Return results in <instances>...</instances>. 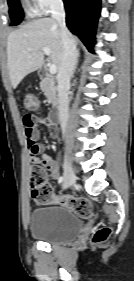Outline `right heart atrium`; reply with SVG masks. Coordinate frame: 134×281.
Masks as SVG:
<instances>
[{"instance_id":"right-heart-atrium-1","label":"right heart atrium","mask_w":134,"mask_h":281,"mask_svg":"<svg viewBox=\"0 0 134 281\" xmlns=\"http://www.w3.org/2000/svg\"><path fill=\"white\" fill-rule=\"evenodd\" d=\"M39 12H48L61 3L62 0H32Z\"/></svg>"}]
</instances>
